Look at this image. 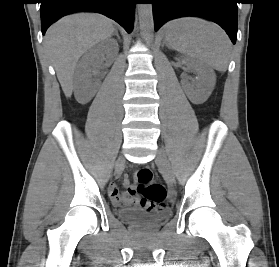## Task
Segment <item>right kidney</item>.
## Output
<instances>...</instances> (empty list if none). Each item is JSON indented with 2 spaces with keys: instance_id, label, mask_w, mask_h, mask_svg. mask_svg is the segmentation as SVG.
Wrapping results in <instances>:
<instances>
[{
  "instance_id": "right-kidney-1",
  "label": "right kidney",
  "mask_w": 279,
  "mask_h": 267,
  "mask_svg": "<svg viewBox=\"0 0 279 267\" xmlns=\"http://www.w3.org/2000/svg\"><path fill=\"white\" fill-rule=\"evenodd\" d=\"M119 51L118 45L113 43L102 42L90 49L83 57L85 70L75 75L74 91L75 97L79 103L85 104L89 102L96 93L98 81L92 78L91 71L99 61V57L107 55H117Z\"/></svg>"
}]
</instances>
